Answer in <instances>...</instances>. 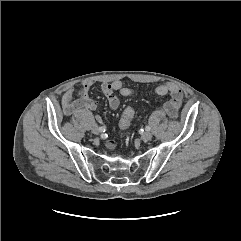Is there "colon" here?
<instances>
[{"label": "colon", "instance_id": "obj_1", "mask_svg": "<svg viewBox=\"0 0 241 241\" xmlns=\"http://www.w3.org/2000/svg\"><path fill=\"white\" fill-rule=\"evenodd\" d=\"M135 114V111L132 107H127L126 109H124L121 118H120V128L125 131L128 129V127L130 126L131 120L133 119Z\"/></svg>", "mask_w": 241, "mask_h": 241}]
</instances>
